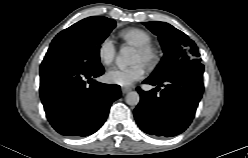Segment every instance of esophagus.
Returning <instances> with one entry per match:
<instances>
[{
	"label": "esophagus",
	"instance_id": "esophagus-1",
	"mask_svg": "<svg viewBox=\"0 0 248 158\" xmlns=\"http://www.w3.org/2000/svg\"><path fill=\"white\" fill-rule=\"evenodd\" d=\"M130 90H131L130 87H122V88H121V91H122L123 94L128 93Z\"/></svg>",
	"mask_w": 248,
	"mask_h": 158
}]
</instances>
